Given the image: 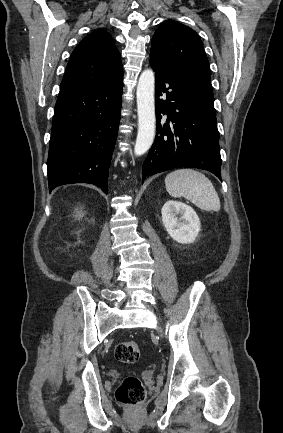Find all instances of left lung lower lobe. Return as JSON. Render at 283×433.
Instances as JSON below:
<instances>
[{
  "instance_id": "0a47b994",
  "label": "left lung lower lobe",
  "mask_w": 283,
  "mask_h": 433,
  "mask_svg": "<svg viewBox=\"0 0 283 433\" xmlns=\"http://www.w3.org/2000/svg\"><path fill=\"white\" fill-rule=\"evenodd\" d=\"M150 64L156 75L157 135L143 164L142 183L147 176L178 167L205 169L221 180L216 114L197 105L195 79L159 59L150 57Z\"/></svg>"
}]
</instances>
